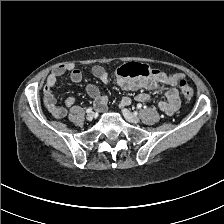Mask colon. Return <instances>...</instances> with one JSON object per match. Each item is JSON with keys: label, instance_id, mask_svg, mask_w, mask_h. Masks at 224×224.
<instances>
[{"label": "colon", "instance_id": "colon-1", "mask_svg": "<svg viewBox=\"0 0 224 224\" xmlns=\"http://www.w3.org/2000/svg\"><path fill=\"white\" fill-rule=\"evenodd\" d=\"M158 70L154 67H150L141 63H129L123 67H121L119 71V75L124 78L128 77H146L150 74L157 72ZM177 86L179 88L180 93L186 99H191L194 95L193 88L188 84V82L180 78L178 80Z\"/></svg>", "mask_w": 224, "mask_h": 224}]
</instances>
